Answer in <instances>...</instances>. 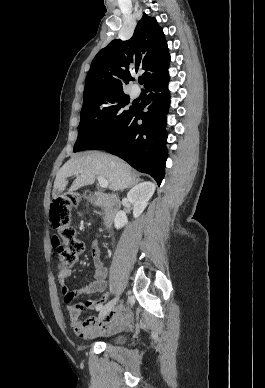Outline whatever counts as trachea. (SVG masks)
Returning <instances> with one entry per match:
<instances>
[{
	"instance_id": "3493384b",
	"label": "trachea",
	"mask_w": 265,
	"mask_h": 388,
	"mask_svg": "<svg viewBox=\"0 0 265 388\" xmlns=\"http://www.w3.org/2000/svg\"><path fill=\"white\" fill-rule=\"evenodd\" d=\"M144 82V78H141V79H139V83H143Z\"/></svg>"
}]
</instances>
